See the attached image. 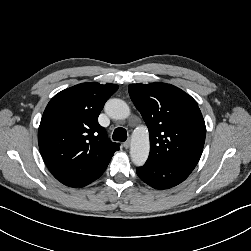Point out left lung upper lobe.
I'll return each mask as SVG.
<instances>
[{"instance_id": "left-lung-upper-lobe-1", "label": "left lung upper lobe", "mask_w": 251, "mask_h": 251, "mask_svg": "<svg viewBox=\"0 0 251 251\" xmlns=\"http://www.w3.org/2000/svg\"><path fill=\"white\" fill-rule=\"evenodd\" d=\"M129 95L150 134L149 162L189 169L197 165L206 127L196 101L170 84H130Z\"/></svg>"}]
</instances>
